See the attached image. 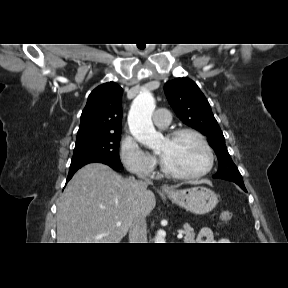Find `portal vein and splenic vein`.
<instances>
[{"instance_id":"portal-vein-and-splenic-vein-1","label":"portal vein and splenic vein","mask_w":288,"mask_h":288,"mask_svg":"<svg viewBox=\"0 0 288 288\" xmlns=\"http://www.w3.org/2000/svg\"><path fill=\"white\" fill-rule=\"evenodd\" d=\"M121 225V222H117L116 223V226L118 227V226H120ZM183 237V234H182V232H179V234L177 235V238L178 239H181Z\"/></svg>"}]
</instances>
